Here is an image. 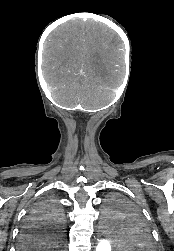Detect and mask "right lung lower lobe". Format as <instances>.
Returning a JSON list of instances; mask_svg holds the SVG:
<instances>
[{
    "instance_id": "obj_1",
    "label": "right lung lower lobe",
    "mask_w": 174,
    "mask_h": 251,
    "mask_svg": "<svg viewBox=\"0 0 174 251\" xmlns=\"http://www.w3.org/2000/svg\"><path fill=\"white\" fill-rule=\"evenodd\" d=\"M41 231L40 227H37L32 224L25 223L24 227L21 230L20 235V242H19V250L21 251H40L39 249L36 250H23L20 248L21 244L30 242L33 240L34 236Z\"/></svg>"
}]
</instances>
